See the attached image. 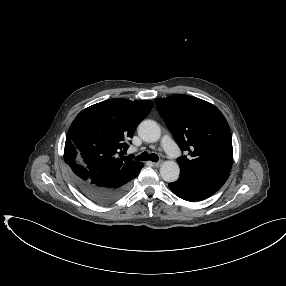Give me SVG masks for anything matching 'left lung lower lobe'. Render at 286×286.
<instances>
[{"label": "left lung lower lobe", "instance_id": "0a47b994", "mask_svg": "<svg viewBox=\"0 0 286 286\" xmlns=\"http://www.w3.org/2000/svg\"><path fill=\"white\" fill-rule=\"evenodd\" d=\"M170 190L186 201H201L217 192L222 185L207 179L180 171L179 179L169 183Z\"/></svg>", "mask_w": 286, "mask_h": 286}]
</instances>
